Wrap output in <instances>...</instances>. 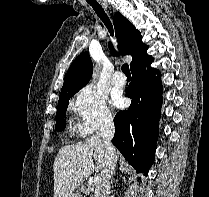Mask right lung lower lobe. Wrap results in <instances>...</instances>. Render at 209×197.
I'll use <instances>...</instances> for the list:
<instances>
[{"mask_svg":"<svg viewBox=\"0 0 209 197\" xmlns=\"http://www.w3.org/2000/svg\"><path fill=\"white\" fill-rule=\"evenodd\" d=\"M152 61L149 57L131 68L132 82L126 95L132 103L116 114L112 139L129 164L146 176L155 157L163 89L159 71L150 67Z\"/></svg>","mask_w":209,"mask_h":197,"instance_id":"1","label":"right lung lower lobe"}]
</instances>
